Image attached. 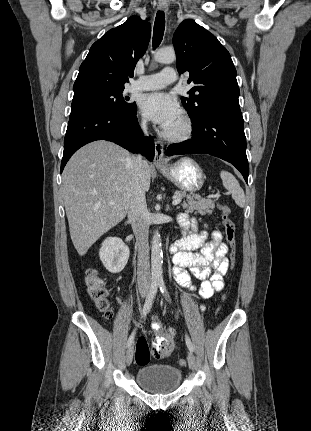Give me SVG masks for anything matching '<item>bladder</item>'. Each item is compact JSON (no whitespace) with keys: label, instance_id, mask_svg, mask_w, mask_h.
Returning a JSON list of instances; mask_svg holds the SVG:
<instances>
[{"label":"bladder","instance_id":"1","mask_svg":"<svg viewBox=\"0 0 311 431\" xmlns=\"http://www.w3.org/2000/svg\"><path fill=\"white\" fill-rule=\"evenodd\" d=\"M140 387L153 394H167L176 391L182 382L181 370L171 364H146L136 373Z\"/></svg>","mask_w":311,"mask_h":431}]
</instances>
